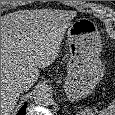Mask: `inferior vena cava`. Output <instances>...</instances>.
<instances>
[{"instance_id":"obj_1","label":"inferior vena cava","mask_w":115,"mask_h":115,"mask_svg":"<svg viewBox=\"0 0 115 115\" xmlns=\"http://www.w3.org/2000/svg\"><path fill=\"white\" fill-rule=\"evenodd\" d=\"M23 87H24V82L23 81H18L16 82L15 84V89H18L19 91H22L23 90Z\"/></svg>"}]
</instances>
